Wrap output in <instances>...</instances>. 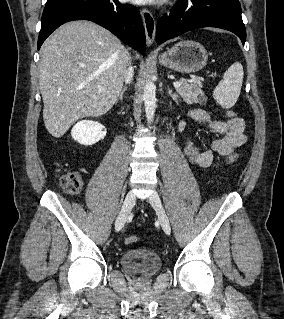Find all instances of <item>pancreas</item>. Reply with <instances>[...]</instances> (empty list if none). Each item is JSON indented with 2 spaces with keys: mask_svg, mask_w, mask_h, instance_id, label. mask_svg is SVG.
<instances>
[{
  "mask_svg": "<svg viewBox=\"0 0 284 319\" xmlns=\"http://www.w3.org/2000/svg\"><path fill=\"white\" fill-rule=\"evenodd\" d=\"M179 82L182 85L177 88V91L181 94L183 100L188 103H198L200 105H205L207 102V97L202 91V82L199 80L189 82V80L181 78Z\"/></svg>",
  "mask_w": 284,
  "mask_h": 319,
  "instance_id": "cf45deb5",
  "label": "pancreas"
}]
</instances>
